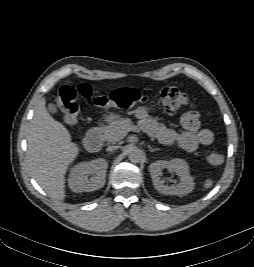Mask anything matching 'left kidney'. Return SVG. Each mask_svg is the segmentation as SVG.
I'll return each instance as SVG.
<instances>
[{
  "mask_svg": "<svg viewBox=\"0 0 254 267\" xmlns=\"http://www.w3.org/2000/svg\"><path fill=\"white\" fill-rule=\"evenodd\" d=\"M163 169L174 172L179 177L178 184L166 185L162 179ZM149 170L155 189L162 194L182 196L194 189V181L189 173V166L183 159L158 160L150 165Z\"/></svg>",
  "mask_w": 254,
  "mask_h": 267,
  "instance_id": "5707ae66",
  "label": "left kidney"
}]
</instances>
